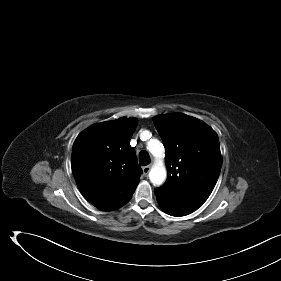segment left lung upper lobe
<instances>
[{"label":"left lung upper lobe","instance_id":"5c2ea615","mask_svg":"<svg viewBox=\"0 0 281 281\" xmlns=\"http://www.w3.org/2000/svg\"><path fill=\"white\" fill-rule=\"evenodd\" d=\"M153 122L166 149L168 178L160 189L186 192L205 202L222 166L218 135L203 121L182 113L158 115Z\"/></svg>","mask_w":281,"mask_h":281}]
</instances>
